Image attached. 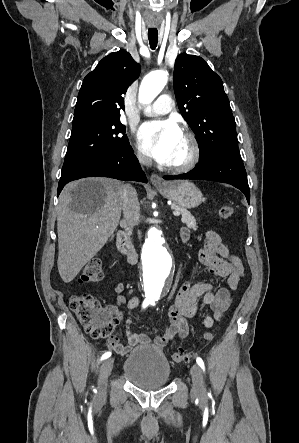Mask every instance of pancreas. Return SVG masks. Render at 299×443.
I'll list each match as a JSON object with an SVG mask.
<instances>
[{"label":"pancreas","mask_w":299,"mask_h":443,"mask_svg":"<svg viewBox=\"0 0 299 443\" xmlns=\"http://www.w3.org/2000/svg\"><path fill=\"white\" fill-rule=\"evenodd\" d=\"M171 208L180 212V214L182 215L181 221L186 224L188 228L197 230L196 219L187 209L177 204H172Z\"/></svg>","instance_id":"obj_1"}]
</instances>
